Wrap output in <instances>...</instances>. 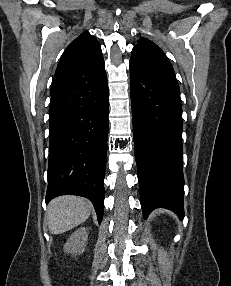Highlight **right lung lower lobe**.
Segmentation results:
<instances>
[{"label": "right lung lower lobe", "mask_w": 231, "mask_h": 286, "mask_svg": "<svg viewBox=\"0 0 231 286\" xmlns=\"http://www.w3.org/2000/svg\"><path fill=\"white\" fill-rule=\"evenodd\" d=\"M49 112L46 203L59 195L86 197L101 223L109 112L106 72L52 94Z\"/></svg>", "instance_id": "1"}]
</instances>
